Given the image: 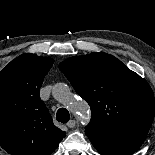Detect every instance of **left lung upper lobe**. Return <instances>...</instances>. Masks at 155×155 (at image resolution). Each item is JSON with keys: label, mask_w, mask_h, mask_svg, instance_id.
I'll use <instances>...</instances> for the list:
<instances>
[{"label": "left lung upper lobe", "mask_w": 155, "mask_h": 155, "mask_svg": "<svg viewBox=\"0 0 155 155\" xmlns=\"http://www.w3.org/2000/svg\"><path fill=\"white\" fill-rule=\"evenodd\" d=\"M75 91L91 107L86 134L105 137L148 131L155 115L149 84L107 53L74 56L59 64Z\"/></svg>", "instance_id": "left-lung-upper-lobe-1"}]
</instances>
